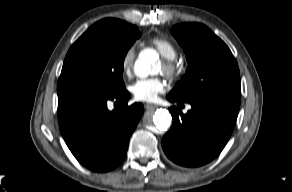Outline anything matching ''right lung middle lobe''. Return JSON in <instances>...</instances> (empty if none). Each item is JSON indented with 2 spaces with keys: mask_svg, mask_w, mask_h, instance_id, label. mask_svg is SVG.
I'll list each match as a JSON object with an SVG mask.
<instances>
[{
  "mask_svg": "<svg viewBox=\"0 0 292 192\" xmlns=\"http://www.w3.org/2000/svg\"><path fill=\"white\" fill-rule=\"evenodd\" d=\"M140 36L136 26L118 19L96 22L70 47L57 89L79 86L103 94L122 92L124 58Z\"/></svg>",
  "mask_w": 292,
  "mask_h": 192,
  "instance_id": "obj_1",
  "label": "right lung middle lobe"
}]
</instances>
